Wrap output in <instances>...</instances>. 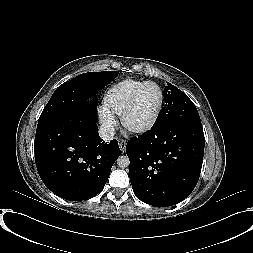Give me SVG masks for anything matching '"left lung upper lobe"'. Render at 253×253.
<instances>
[{"label":"left lung upper lobe","instance_id":"left-lung-upper-lobe-1","mask_svg":"<svg viewBox=\"0 0 253 253\" xmlns=\"http://www.w3.org/2000/svg\"><path fill=\"white\" fill-rule=\"evenodd\" d=\"M165 105L152 128L166 126L180 121H200L198 111L189 97L167 82L164 89Z\"/></svg>","mask_w":253,"mask_h":253}]
</instances>
